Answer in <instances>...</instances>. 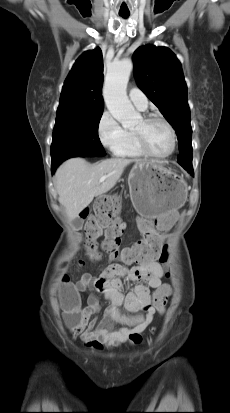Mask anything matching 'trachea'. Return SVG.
<instances>
[{
  "instance_id": "3493384b",
  "label": "trachea",
  "mask_w": 230,
  "mask_h": 413,
  "mask_svg": "<svg viewBox=\"0 0 230 413\" xmlns=\"http://www.w3.org/2000/svg\"><path fill=\"white\" fill-rule=\"evenodd\" d=\"M129 13H119V16L123 17V18H128L129 17Z\"/></svg>"
}]
</instances>
